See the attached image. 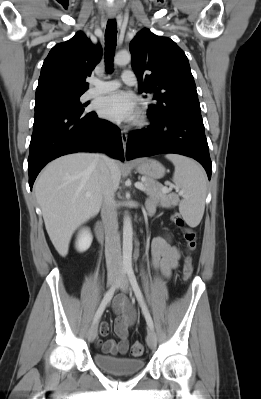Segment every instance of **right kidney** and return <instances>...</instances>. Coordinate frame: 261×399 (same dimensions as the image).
I'll use <instances>...</instances> for the list:
<instances>
[{
  "mask_svg": "<svg viewBox=\"0 0 261 399\" xmlns=\"http://www.w3.org/2000/svg\"><path fill=\"white\" fill-rule=\"evenodd\" d=\"M92 240H93V237H92L90 229H88V228L81 229L77 236L76 249L79 252L86 251L91 246Z\"/></svg>",
  "mask_w": 261,
  "mask_h": 399,
  "instance_id": "right-kidney-1",
  "label": "right kidney"
}]
</instances>
